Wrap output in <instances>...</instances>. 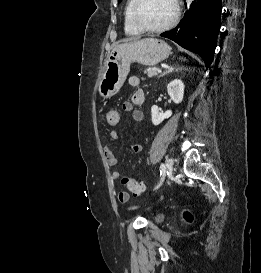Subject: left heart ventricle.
Segmentation results:
<instances>
[{"label": "left heart ventricle", "mask_w": 261, "mask_h": 273, "mask_svg": "<svg viewBox=\"0 0 261 273\" xmlns=\"http://www.w3.org/2000/svg\"><path fill=\"white\" fill-rule=\"evenodd\" d=\"M174 16L172 0H141L136 11L137 21L145 27L167 24Z\"/></svg>", "instance_id": "obj_1"}]
</instances>
